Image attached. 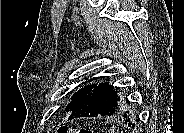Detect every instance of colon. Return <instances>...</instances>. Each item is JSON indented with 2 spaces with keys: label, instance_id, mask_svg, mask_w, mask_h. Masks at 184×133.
<instances>
[{
  "label": "colon",
  "instance_id": "1",
  "mask_svg": "<svg viewBox=\"0 0 184 133\" xmlns=\"http://www.w3.org/2000/svg\"><path fill=\"white\" fill-rule=\"evenodd\" d=\"M58 133H90L91 131L83 129V128H70L68 126L59 127Z\"/></svg>",
  "mask_w": 184,
  "mask_h": 133
}]
</instances>
